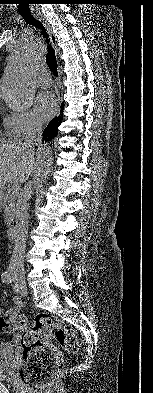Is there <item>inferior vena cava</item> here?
<instances>
[{
    "mask_svg": "<svg viewBox=\"0 0 153 393\" xmlns=\"http://www.w3.org/2000/svg\"><path fill=\"white\" fill-rule=\"evenodd\" d=\"M42 137L41 125L33 123L28 130L23 147L28 153L35 156V147L41 143ZM32 191V181L26 182L22 192L18 195L15 208L16 240L9 264V271L14 275H24V253L29 226L28 200L31 197Z\"/></svg>",
    "mask_w": 153,
    "mask_h": 393,
    "instance_id": "inferior-vena-cava-1",
    "label": "inferior vena cava"
}]
</instances>
